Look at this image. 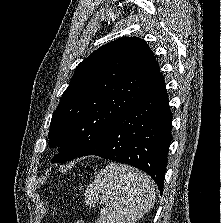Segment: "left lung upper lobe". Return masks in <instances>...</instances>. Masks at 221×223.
I'll return each instance as SVG.
<instances>
[{
  "label": "left lung upper lobe",
  "mask_w": 221,
  "mask_h": 223,
  "mask_svg": "<svg viewBox=\"0 0 221 223\" xmlns=\"http://www.w3.org/2000/svg\"><path fill=\"white\" fill-rule=\"evenodd\" d=\"M159 75L153 52L140 38H120L94 51L77 66L52 116L49 145L61 150L51 162L79 156Z\"/></svg>",
  "instance_id": "1"
}]
</instances>
